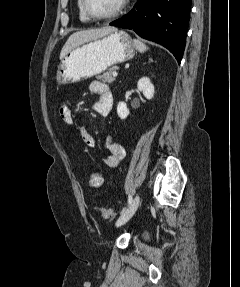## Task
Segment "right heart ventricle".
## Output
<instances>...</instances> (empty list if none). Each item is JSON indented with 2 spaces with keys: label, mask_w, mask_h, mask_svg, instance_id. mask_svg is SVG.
<instances>
[{
  "label": "right heart ventricle",
  "mask_w": 240,
  "mask_h": 287,
  "mask_svg": "<svg viewBox=\"0 0 240 287\" xmlns=\"http://www.w3.org/2000/svg\"><path fill=\"white\" fill-rule=\"evenodd\" d=\"M77 10H78L79 18L81 21H83V22L90 21V18L84 12L82 0H77Z\"/></svg>",
  "instance_id": "1"
}]
</instances>
